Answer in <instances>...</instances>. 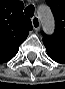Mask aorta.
I'll use <instances>...</instances> for the list:
<instances>
[{"instance_id": "762f6f07", "label": "aorta", "mask_w": 65, "mask_h": 89, "mask_svg": "<svg viewBox=\"0 0 65 89\" xmlns=\"http://www.w3.org/2000/svg\"><path fill=\"white\" fill-rule=\"evenodd\" d=\"M38 15L42 23V27L44 31L48 34H52L54 31V16L51 12V9L46 6L42 5L38 9Z\"/></svg>"}]
</instances>
